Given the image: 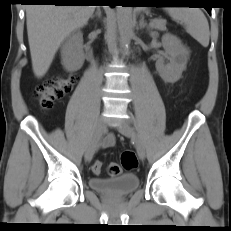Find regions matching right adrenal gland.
I'll return each instance as SVG.
<instances>
[{
    "label": "right adrenal gland",
    "instance_id": "1",
    "mask_svg": "<svg viewBox=\"0 0 231 231\" xmlns=\"http://www.w3.org/2000/svg\"><path fill=\"white\" fill-rule=\"evenodd\" d=\"M95 16L98 17V18L102 17L100 6H97V10L95 12V15H92L91 18L93 19Z\"/></svg>",
    "mask_w": 231,
    "mask_h": 231
}]
</instances>
